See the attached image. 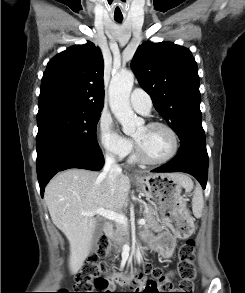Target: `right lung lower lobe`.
I'll list each match as a JSON object with an SVG mask.
<instances>
[{
    "instance_id": "98d812e1",
    "label": "right lung lower lobe",
    "mask_w": 245,
    "mask_h": 293,
    "mask_svg": "<svg viewBox=\"0 0 245 293\" xmlns=\"http://www.w3.org/2000/svg\"><path fill=\"white\" fill-rule=\"evenodd\" d=\"M104 165V157L99 150L71 148L61 150L48 157L37 167L38 181L43 197L44 189L49 180L59 171L69 168H81L98 171Z\"/></svg>"
}]
</instances>
